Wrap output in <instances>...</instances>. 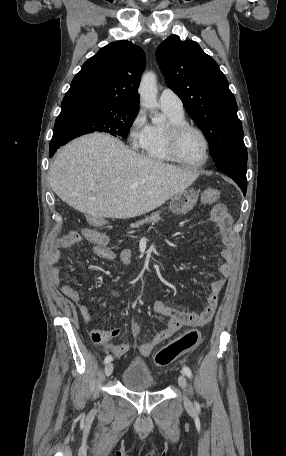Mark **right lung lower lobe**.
<instances>
[{
  "label": "right lung lower lobe",
  "instance_id": "98d812e1",
  "mask_svg": "<svg viewBox=\"0 0 286 456\" xmlns=\"http://www.w3.org/2000/svg\"><path fill=\"white\" fill-rule=\"evenodd\" d=\"M71 98H64L62 102H66L67 100H69ZM62 115V110H61V113L58 117H60ZM59 118L56 119V121H58ZM56 123V122H55ZM54 135L52 137V140H51V144H50V149H49V156L52 157L53 154L56 152V150L61 146L63 145L61 142L59 141H56L54 139Z\"/></svg>",
  "mask_w": 286,
  "mask_h": 456
}]
</instances>
